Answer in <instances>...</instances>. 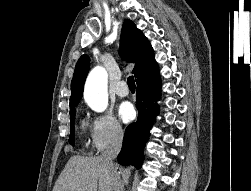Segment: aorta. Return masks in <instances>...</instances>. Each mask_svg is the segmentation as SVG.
<instances>
[{"label": "aorta", "instance_id": "762f6f07", "mask_svg": "<svg viewBox=\"0 0 251 191\" xmlns=\"http://www.w3.org/2000/svg\"><path fill=\"white\" fill-rule=\"evenodd\" d=\"M84 99L94 111H104L108 105L107 72L104 68L91 70L84 88Z\"/></svg>", "mask_w": 251, "mask_h": 191}]
</instances>
